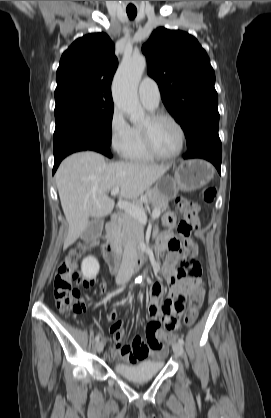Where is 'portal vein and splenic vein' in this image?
Here are the masks:
<instances>
[{"label": "portal vein and splenic vein", "mask_w": 271, "mask_h": 418, "mask_svg": "<svg viewBox=\"0 0 271 418\" xmlns=\"http://www.w3.org/2000/svg\"><path fill=\"white\" fill-rule=\"evenodd\" d=\"M119 193V187H114L111 190V195L115 196ZM117 206L126 211L127 213H129L131 216H133L134 218L138 219L140 222L142 223H146L147 222V215L143 209V207H140L136 204L130 203V202H126V201H119ZM160 211L158 209H154L151 217L152 218H158L160 216Z\"/></svg>", "instance_id": "obj_1"}]
</instances>
